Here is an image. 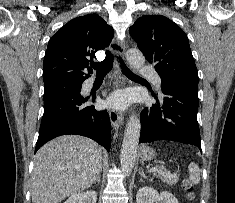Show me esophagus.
Masks as SVG:
<instances>
[{"label":"esophagus","mask_w":235,"mask_h":203,"mask_svg":"<svg viewBox=\"0 0 235 203\" xmlns=\"http://www.w3.org/2000/svg\"><path fill=\"white\" fill-rule=\"evenodd\" d=\"M110 50L114 56V70L113 76L121 77V66H120V58L124 59L125 54V41L119 40L118 38H113ZM109 117L111 120L112 126L116 129L124 122V117L122 113L116 111L115 109L111 108L108 111Z\"/></svg>","instance_id":"1"}]
</instances>
